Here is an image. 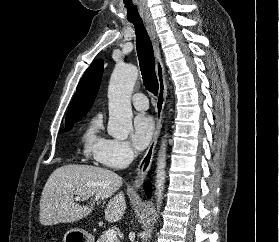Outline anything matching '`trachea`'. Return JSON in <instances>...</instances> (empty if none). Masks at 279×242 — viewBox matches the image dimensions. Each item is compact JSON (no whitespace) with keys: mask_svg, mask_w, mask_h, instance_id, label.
<instances>
[{"mask_svg":"<svg viewBox=\"0 0 279 242\" xmlns=\"http://www.w3.org/2000/svg\"><path fill=\"white\" fill-rule=\"evenodd\" d=\"M131 23L134 25L137 35L136 48L144 86L149 92L157 95L159 83L155 73L152 42L141 20L131 21Z\"/></svg>","mask_w":279,"mask_h":242,"instance_id":"1","label":"trachea"}]
</instances>
